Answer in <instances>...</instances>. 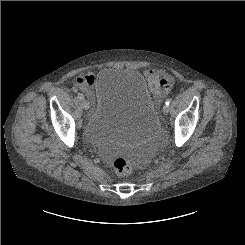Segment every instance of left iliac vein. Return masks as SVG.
Here are the masks:
<instances>
[{"mask_svg":"<svg viewBox=\"0 0 245 245\" xmlns=\"http://www.w3.org/2000/svg\"><path fill=\"white\" fill-rule=\"evenodd\" d=\"M162 111H163L164 114H168V112H169V106L168 105H164Z\"/></svg>","mask_w":245,"mask_h":245,"instance_id":"left-iliac-vein-1","label":"left iliac vein"}]
</instances>
